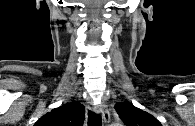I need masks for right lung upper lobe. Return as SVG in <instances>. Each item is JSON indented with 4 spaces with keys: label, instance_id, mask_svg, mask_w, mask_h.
Masks as SVG:
<instances>
[{
    "label": "right lung upper lobe",
    "instance_id": "cb5924a9",
    "mask_svg": "<svg viewBox=\"0 0 195 126\" xmlns=\"http://www.w3.org/2000/svg\"><path fill=\"white\" fill-rule=\"evenodd\" d=\"M84 114V106L73 101L46 113L34 126H82Z\"/></svg>",
    "mask_w": 195,
    "mask_h": 126
}]
</instances>
